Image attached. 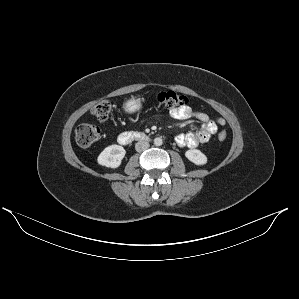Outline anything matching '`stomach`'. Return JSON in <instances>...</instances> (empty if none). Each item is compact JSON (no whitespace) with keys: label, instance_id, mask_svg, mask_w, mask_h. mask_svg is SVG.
Returning <instances> with one entry per match:
<instances>
[{"label":"stomach","instance_id":"obj_1","mask_svg":"<svg viewBox=\"0 0 299 299\" xmlns=\"http://www.w3.org/2000/svg\"><path fill=\"white\" fill-rule=\"evenodd\" d=\"M140 107H141L140 101L135 98H131L124 104V109L129 113H133L139 110Z\"/></svg>","mask_w":299,"mask_h":299}]
</instances>
